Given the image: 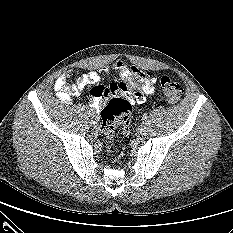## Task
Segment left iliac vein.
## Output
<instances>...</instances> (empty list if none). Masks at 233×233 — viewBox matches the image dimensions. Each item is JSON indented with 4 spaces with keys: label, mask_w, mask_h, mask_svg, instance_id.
I'll return each instance as SVG.
<instances>
[{
    "label": "left iliac vein",
    "mask_w": 233,
    "mask_h": 233,
    "mask_svg": "<svg viewBox=\"0 0 233 233\" xmlns=\"http://www.w3.org/2000/svg\"><path fill=\"white\" fill-rule=\"evenodd\" d=\"M148 132H149L148 124L147 123H143L142 126H141V128H140V131H139L140 135L146 136L148 134Z\"/></svg>",
    "instance_id": "obj_1"
}]
</instances>
